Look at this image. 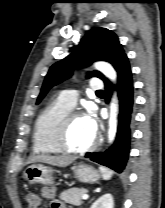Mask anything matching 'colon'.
I'll return each mask as SVG.
<instances>
[{
    "mask_svg": "<svg viewBox=\"0 0 165 208\" xmlns=\"http://www.w3.org/2000/svg\"><path fill=\"white\" fill-rule=\"evenodd\" d=\"M26 201L29 208H38L40 205V198L37 194L34 193L27 194Z\"/></svg>",
    "mask_w": 165,
    "mask_h": 208,
    "instance_id": "5ec220e1",
    "label": "colon"
}]
</instances>
